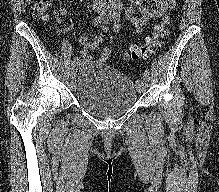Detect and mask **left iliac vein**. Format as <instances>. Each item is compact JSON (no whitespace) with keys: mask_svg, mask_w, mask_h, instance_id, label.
<instances>
[{"mask_svg":"<svg viewBox=\"0 0 219 192\" xmlns=\"http://www.w3.org/2000/svg\"><path fill=\"white\" fill-rule=\"evenodd\" d=\"M149 80H150V76L149 75H144L143 76V81H140L137 84V91L139 93H142V92H144L146 90V88L148 87Z\"/></svg>","mask_w":219,"mask_h":192,"instance_id":"4c4485c4","label":"left iliac vein"}]
</instances>
